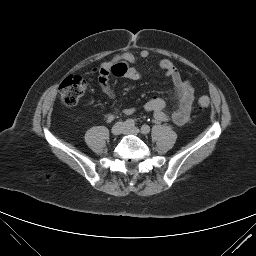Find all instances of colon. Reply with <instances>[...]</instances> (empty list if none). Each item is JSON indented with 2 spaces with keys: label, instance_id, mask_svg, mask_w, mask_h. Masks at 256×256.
<instances>
[{
  "label": "colon",
  "instance_id": "1",
  "mask_svg": "<svg viewBox=\"0 0 256 256\" xmlns=\"http://www.w3.org/2000/svg\"><path fill=\"white\" fill-rule=\"evenodd\" d=\"M87 88V81L83 76L70 75L65 78L59 87V94L62 102L67 106H73L84 95ZM198 105L201 109L209 107L210 100L206 96L198 99Z\"/></svg>",
  "mask_w": 256,
  "mask_h": 256
}]
</instances>
